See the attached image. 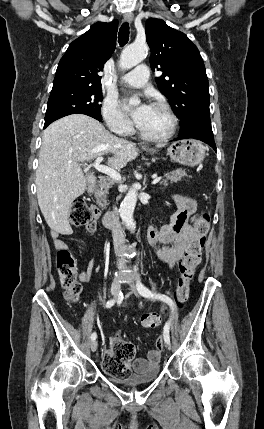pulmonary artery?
I'll use <instances>...</instances> for the list:
<instances>
[{"instance_id": "pulmonary-artery-1", "label": "pulmonary artery", "mask_w": 264, "mask_h": 429, "mask_svg": "<svg viewBox=\"0 0 264 429\" xmlns=\"http://www.w3.org/2000/svg\"><path fill=\"white\" fill-rule=\"evenodd\" d=\"M149 78V69L146 65L141 64L131 72L121 77V82L125 85L140 88L146 85Z\"/></svg>"}]
</instances>
